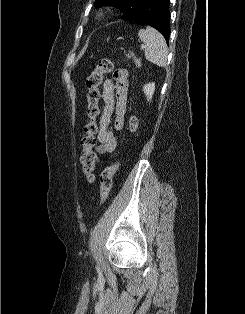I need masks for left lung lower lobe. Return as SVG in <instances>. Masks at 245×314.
<instances>
[{"instance_id":"0a47b994","label":"left lung lower lobe","mask_w":245,"mask_h":314,"mask_svg":"<svg viewBox=\"0 0 245 314\" xmlns=\"http://www.w3.org/2000/svg\"><path fill=\"white\" fill-rule=\"evenodd\" d=\"M169 0H145L135 15L128 20L147 24L157 29L166 41L170 35Z\"/></svg>"}]
</instances>
